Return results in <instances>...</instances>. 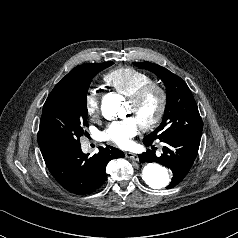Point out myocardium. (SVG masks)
Listing matches in <instances>:
<instances>
[{
	"label": "myocardium",
	"mask_w": 238,
	"mask_h": 238,
	"mask_svg": "<svg viewBox=\"0 0 238 238\" xmlns=\"http://www.w3.org/2000/svg\"><path fill=\"white\" fill-rule=\"evenodd\" d=\"M153 93L156 94L158 98L157 109L150 119L140 124V127L143 130H149L155 127L162 120L167 106V92L162 85L151 81L138 89L128 99V103L133 108H138L143 104L147 97Z\"/></svg>",
	"instance_id": "1"
}]
</instances>
